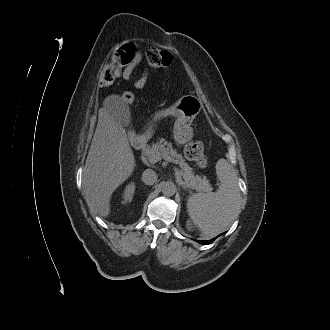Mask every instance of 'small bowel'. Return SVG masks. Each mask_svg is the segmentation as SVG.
I'll use <instances>...</instances> for the list:
<instances>
[{"label":"small bowel","instance_id":"obj_1","mask_svg":"<svg viewBox=\"0 0 330 330\" xmlns=\"http://www.w3.org/2000/svg\"><path fill=\"white\" fill-rule=\"evenodd\" d=\"M142 60V55L139 51L136 50L135 52V56L133 61L125 68H123L120 73H119V77L128 80L132 77L135 69L138 67V65L141 63ZM148 77H149V73L147 70H143L142 73L138 76V78L135 80L134 82V87L137 90H142L147 82H148Z\"/></svg>","mask_w":330,"mask_h":330}]
</instances>
